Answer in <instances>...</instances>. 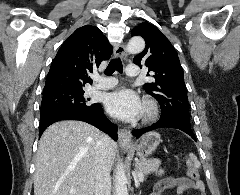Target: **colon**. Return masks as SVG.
Segmentation results:
<instances>
[{
    "mask_svg": "<svg viewBox=\"0 0 240 195\" xmlns=\"http://www.w3.org/2000/svg\"><path fill=\"white\" fill-rule=\"evenodd\" d=\"M186 166H191V159L190 158H187L186 159ZM193 166V165H192ZM186 171L187 172H190V176L193 177L194 180H197L198 179V171L195 170V168H190V167H187L186 168ZM197 185L198 186H201L202 185V182L201 181H198L197 182Z\"/></svg>",
    "mask_w": 240,
    "mask_h": 195,
    "instance_id": "1",
    "label": "colon"
}]
</instances>
